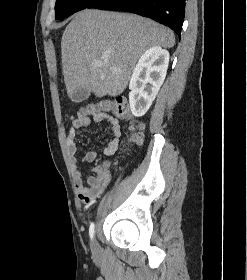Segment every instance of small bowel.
Segmentation results:
<instances>
[{
	"label": "small bowel",
	"instance_id": "1",
	"mask_svg": "<svg viewBox=\"0 0 247 280\" xmlns=\"http://www.w3.org/2000/svg\"><path fill=\"white\" fill-rule=\"evenodd\" d=\"M93 121L107 122L109 124L110 139L103 152L108 156L113 155L118 149L119 139L121 136L120 121L117 118L104 113L96 114ZM91 124L92 120L87 117L74 120L66 138L67 151L73 172L74 187L80 201L86 204L95 201L104 192L110 182L108 170L103 177L94 175L89 176L86 180H84L79 169L80 161L90 163L95 161L98 155L93 149L85 150L81 156L77 155V132L90 127Z\"/></svg>",
	"mask_w": 247,
	"mask_h": 280
}]
</instances>
